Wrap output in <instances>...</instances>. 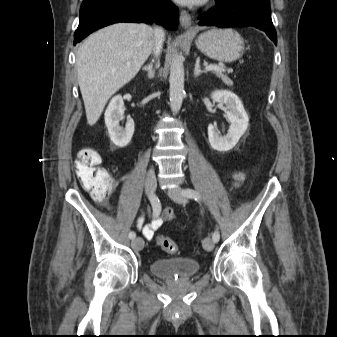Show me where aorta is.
<instances>
[{"instance_id":"762f6f07","label":"aorta","mask_w":337,"mask_h":337,"mask_svg":"<svg viewBox=\"0 0 337 337\" xmlns=\"http://www.w3.org/2000/svg\"><path fill=\"white\" fill-rule=\"evenodd\" d=\"M170 107L172 112H179L184 98V66L181 56L175 54L172 59L169 77Z\"/></svg>"}]
</instances>
